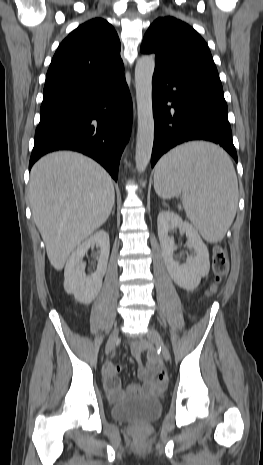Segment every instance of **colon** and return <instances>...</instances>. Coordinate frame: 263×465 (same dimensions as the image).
I'll return each instance as SVG.
<instances>
[{
	"mask_svg": "<svg viewBox=\"0 0 263 465\" xmlns=\"http://www.w3.org/2000/svg\"><path fill=\"white\" fill-rule=\"evenodd\" d=\"M228 269L229 263L225 250L221 246H216L213 251L214 279L209 287V294L217 292L220 284L228 273Z\"/></svg>",
	"mask_w": 263,
	"mask_h": 465,
	"instance_id": "obj_1",
	"label": "colon"
}]
</instances>
